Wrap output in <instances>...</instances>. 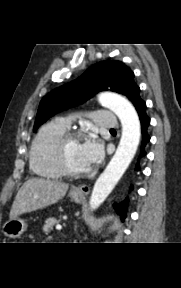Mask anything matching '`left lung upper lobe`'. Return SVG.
I'll return each instance as SVG.
<instances>
[{"label": "left lung upper lobe", "mask_w": 181, "mask_h": 288, "mask_svg": "<svg viewBox=\"0 0 181 288\" xmlns=\"http://www.w3.org/2000/svg\"><path fill=\"white\" fill-rule=\"evenodd\" d=\"M103 90L121 93L131 100L140 89L134 82V73L122 62H99L41 100L33 131L57 112L76 106Z\"/></svg>", "instance_id": "5c2ea615"}]
</instances>
